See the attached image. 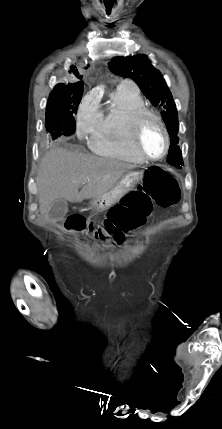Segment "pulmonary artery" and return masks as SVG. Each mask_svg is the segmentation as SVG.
<instances>
[{
	"instance_id": "1",
	"label": "pulmonary artery",
	"mask_w": 222,
	"mask_h": 429,
	"mask_svg": "<svg viewBox=\"0 0 222 429\" xmlns=\"http://www.w3.org/2000/svg\"><path fill=\"white\" fill-rule=\"evenodd\" d=\"M120 87H132V84L129 82H123Z\"/></svg>"
}]
</instances>
